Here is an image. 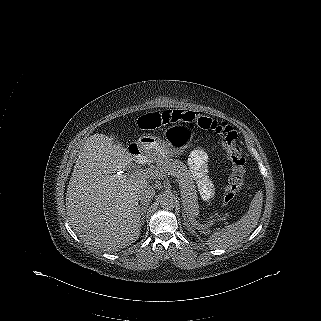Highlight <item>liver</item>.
Returning a JSON list of instances; mask_svg holds the SVG:
<instances>
[{
	"mask_svg": "<svg viewBox=\"0 0 321 321\" xmlns=\"http://www.w3.org/2000/svg\"><path fill=\"white\" fill-rule=\"evenodd\" d=\"M136 159L104 134L90 136L81 147L67 188L66 210L74 231L88 245L118 251L139 238L138 192L149 182L120 173Z\"/></svg>",
	"mask_w": 321,
	"mask_h": 321,
	"instance_id": "6515ba94",
	"label": "liver"
}]
</instances>
